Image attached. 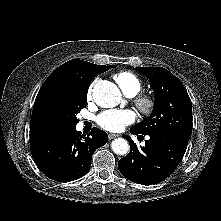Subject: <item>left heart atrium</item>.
<instances>
[{
	"label": "left heart atrium",
	"instance_id": "left-heart-atrium-1",
	"mask_svg": "<svg viewBox=\"0 0 221 221\" xmlns=\"http://www.w3.org/2000/svg\"><path fill=\"white\" fill-rule=\"evenodd\" d=\"M134 121L135 114L131 110L109 109L96 117V123L110 132H120Z\"/></svg>",
	"mask_w": 221,
	"mask_h": 221
}]
</instances>
